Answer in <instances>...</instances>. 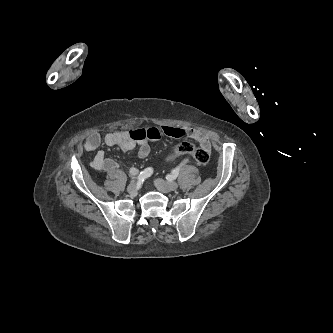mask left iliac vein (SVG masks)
I'll use <instances>...</instances> for the list:
<instances>
[{"label":"left iliac vein","mask_w":333,"mask_h":333,"mask_svg":"<svg viewBox=\"0 0 333 333\" xmlns=\"http://www.w3.org/2000/svg\"><path fill=\"white\" fill-rule=\"evenodd\" d=\"M155 186L159 191L163 193L174 191L178 188V184L176 182L174 181L166 182L162 179H157L155 181Z\"/></svg>","instance_id":"obj_1"}]
</instances>
